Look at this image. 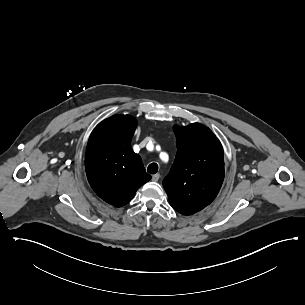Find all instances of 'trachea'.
<instances>
[{"label":"trachea","instance_id":"3493384b","mask_svg":"<svg viewBox=\"0 0 305 305\" xmlns=\"http://www.w3.org/2000/svg\"><path fill=\"white\" fill-rule=\"evenodd\" d=\"M147 172L150 174H156L158 172V165L156 163H152L148 166Z\"/></svg>","mask_w":305,"mask_h":305}]
</instances>
